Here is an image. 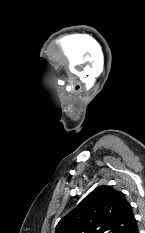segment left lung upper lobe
Segmentation results:
<instances>
[{"label":"left lung upper lobe","instance_id":"5c2ea615","mask_svg":"<svg viewBox=\"0 0 145 233\" xmlns=\"http://www.w3.org/2000/svg\"><path fill=\"white\" fill-rule=\"evenodd\" d=\"M135 225L125 195L102 185L59 221L55 233H130Z\"/></svg>","mask_w":145,"mask_h":233}]
</instances>
